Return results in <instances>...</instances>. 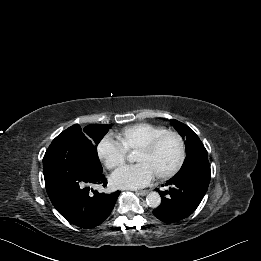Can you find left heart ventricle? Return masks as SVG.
<instances>
[{
    "label": "left heart ventricle",
    "instance_id": "1",
    "mask_svg": "<svg viewBox=\"0 0 261 261\" xmlns=\"http://www.w3.org/2000/svg\"><path fill=\"white\" fill-rule=\"evenodd\" d=\"M179 156V143L173 136L161 140L157 148L150 153L137 151L134 160L146 164L156 175L169 170L176 163Z\"/></svg>",
    "mask_w": 261,
    "mask_h": 261
}]
</instances>
